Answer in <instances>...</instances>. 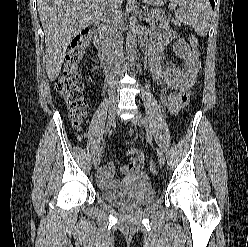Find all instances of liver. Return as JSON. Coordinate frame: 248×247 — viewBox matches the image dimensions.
Here are the masks:
<instances>
[{
    "label": "liver",
    "instance_id": "liver-1",
    "mask_svg": "<svg viewBox=\"0 0 248 247\" xmlns=\"http://www.w3.org/2000/svg\"><path fill=\"white\" fill-rule=\"evenodd\" d=\"M106 2L107 0H38L39 18L45 33L46 72L51 81L59 76L72 39L102 17Z\"/></svg>",
    "mask_w": 248,
    "mask_h": 247
}]
</instances>
